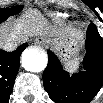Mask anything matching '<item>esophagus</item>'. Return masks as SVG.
I'll use <instances>...</instances> for the list:
<instances>
[{
    "mask_svg": "<svg viewBox=\"0 0 103 103\" xmlns=\"http://www.w3.org/2000/svg\"><path fill=\"white\" fill-rule=\"evenodd\" d=\"M35 43L39 46H44L47 43V40L43 37H39L36 39Z\"/></svg>",
    "mask_w": 103,
    "mask_h": 103,
    "instance_id": "esophagus-1",
    "label": "esophagus"
}]
</instances>
